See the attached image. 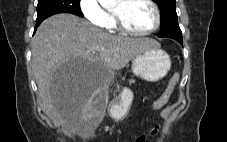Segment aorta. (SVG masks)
Instances as JSON below:
<instances>
[{"mask_svg":"<svg viewBox=\"0 0 227 142\" xmlns=\"http://www.w3.org/2000/svg\"><path fill=\"white\" fill-rule=\"evenodd\" d=\"M100 2L103 6H108L110 4H114L116 0H100Z\"/></svg>","mask_w":227,"mask_h":142,"instance_id":"obj_1","label":"aorta"}]
</instances>
